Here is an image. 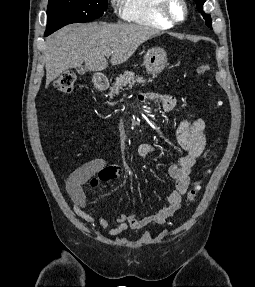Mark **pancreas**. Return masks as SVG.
<instances>
[{
    "instance_id": "pancreas-1",
    "label": "pancreas",
    "mask_w": 255,
    "mask_h": 287,
    "mask_svg": "<svg viewBox=\"0 0 255 287\" xmlns=\"http://www.w3.org/2000/svg\"><path fill=\"white\" fill-rule=\"evenodd\" d=\"M153 78H156V76H153ZM146 82H153V80L152 78L143 80V78L135 76L134 72H124V74H120L119 78H116L114 84H112V88H110L108 96L113 98V96H118V94H120V90H128V88H132V86L146 84Z\"/></svg>"
}]
</instances>
